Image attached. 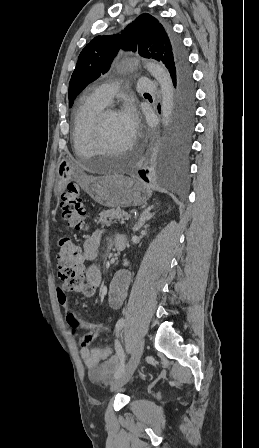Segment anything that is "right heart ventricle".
<instances>
[{"mask_svg":"<svg viewBox=\"0 0 259 448\" xmlns=\"http://www.w3.org/2000/svg\"><path fill=\"white\" fill-rule=\"evenodd\" d=\"M96 96L94 89L84 94L80 102L73 124L72 142L73 148L81 150L95 149L91 137L96 115L106 106Z\"/></svg>","mask_w":259,"mask_h":448,"instance_id":"right-heart-ventricle-1","label":"right heart ventricle"}]
</instances>
